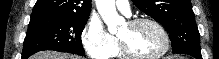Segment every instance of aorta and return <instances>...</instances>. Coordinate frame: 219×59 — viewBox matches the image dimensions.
Returning a JSON list of instances; mask_svg holds the SVG:
<instances>
[{
    "label": "aorta",
    "mask_w": 219,
    "mask_h": 59,
    "mask_svg": "<svg viewBox=\"0 0 219 59\" xmlns=\"http://www.w3.org/2000/svg\"><path fill=\"white\" fill-rule=\"evenodd\" d=\"M96 7L110 33L117 31L121 17L117 14L115 0H96Z\"/></svg>",
    "instance_id": "obj_1"
}]
</instances>
